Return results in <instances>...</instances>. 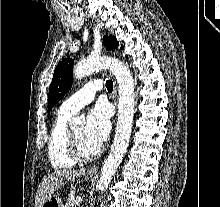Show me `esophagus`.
I'll return each instance as SVG.
<instances>
[{
  "mask_svg": "<svg viewBox=\"0 0 220 207\" xmlns=\"http://www.w3.org/2000/svg\"><path fill=\"white\" fill-rule=\"evenodd\" d=\"M112 100L114 104L117 105V86H116L115 81H114V87H113V92H112ZM97 170H98V165H95L89 169L88 174L95 175L97 173Z\"/></svg>",
  "mask_w": 220,
  "mask_h": 207,
  "instance_id": "obj_1",
  "label": "esophagus"
}]
</instances>
